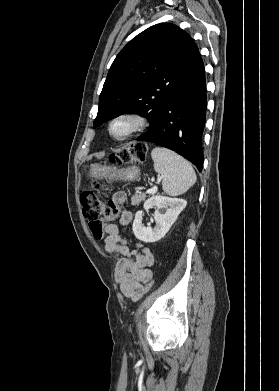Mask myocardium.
<instances>
[{
	"mask_svg": "<svg viewBox=\"0 0 279 391\" xmlns=\"http://www.w3.org/2000/svg\"><path fill=\"white\" fill-rule=\"evenodd\" d=\"M119 123H126L127 128L118 134L114 128ZM146 125V119L136 112H123L113 117L108 123V133L116 141H125L142 130Z\"/></svg>",
	"mask_w": 279,
	"mask_h": 391,
	"instance_id": "myocardium-1",
	"label": "myocardium"
}]
</instances>
